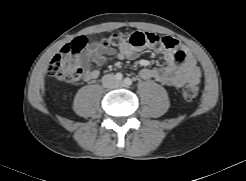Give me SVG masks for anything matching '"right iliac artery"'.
Instances as JSON below:
<instances>
[{
	"label": "right iliac artery",
	"instance_id": "right-iliac-artery-1",
	"mask_svg": "<svg viewBox=\"0 0 246 181\" xmlns=\"http://www.w3.org/2000/svg\"><path fill=\"white\" fill-rule=\"evenodd\" d=\"M115 78L118 80V81H121L123 79V75L121 73H117L115 75Z\"/></svg>",
	"mask_w": 246,
	"mask_h": 181
}]
</instances>
